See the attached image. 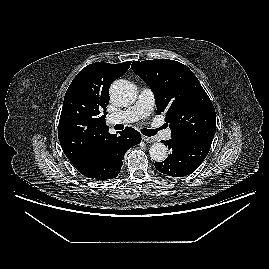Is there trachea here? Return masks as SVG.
<instances>
[{"label": "trachea", "instance_id": "3493384b", "mask_svg": "<svg viewBox=\"0 0 269 269\" xmlns=\"http://www.w3.org/2000/svg\"><path fill=\"white\" fill-rule=\"evenodd\" d=\"M114 128L116 130H122L124 126L121 124H117ZM141 131L145 136H154L157 133L158 129H141Z\"/></svg>", "mask_w": 269, "mask_h": 269}]
</instances>
